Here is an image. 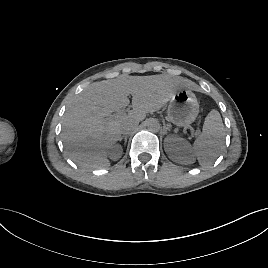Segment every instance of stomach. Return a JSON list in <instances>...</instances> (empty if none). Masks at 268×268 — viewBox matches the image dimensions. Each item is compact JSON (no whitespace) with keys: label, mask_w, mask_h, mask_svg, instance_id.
I'll use <instances>...</instances> for the list:
<instances>
[{"label":"stomach","mask_w":268,"mask_h":268,"mask_svg":"<svg viewBox=\"0 0 268 268\" xmlns=\"http://www.w3.org/2000/svg\"><path fill=\"white\" fill-rule=\"evenodd\" d=\"M199 113V103L195 94L182 88L170 99L168 105V120L178 127H187L193 123Z\"/></svg>","instance_id":"obj_1"}]
</instances>
